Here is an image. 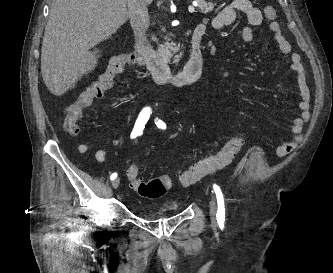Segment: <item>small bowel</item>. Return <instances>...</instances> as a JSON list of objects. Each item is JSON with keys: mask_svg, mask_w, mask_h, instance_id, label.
Here are the masks:
<instances>
[{"mask_svg": "<svg viewBox=\"0 0 333 273\" xmlns=\"http://www.w3.org/2000/svg\"><path fill=\"white\" fill-rule=\"evenodd\" d=\"M237 12H241L246 16L248 25L242 28L241 37L244 42L249 43L254 38L251 26H260L264 19H266V12L254 7L249 0H232L219 10L209 24L203 23L199 25L204 31L207 30L208 27L213 29L225 28L235 22ZM269 29L273 33L274 39L278 43L280 51L284 54H290V67L297 77L300 93V117L296 118L293 122L292 138L278 149V154L283 156L292 152L301 140L304 123L309 118L310 92L300 55L296 52H292L291 45L283 36L280 25L277 21L276 23H270ZM89 147V142H83L78 146V152L84 155L88 152ZM95 158L98 162L105 163L107 161L105 150L102 148L97 149L95 152Z\"/></svg>", "mask_w": 333, "mask_h": 273, "instance_id": "1", "label": "small bowel"}]
</instances>
